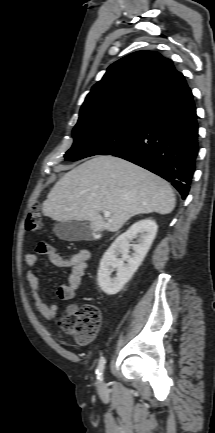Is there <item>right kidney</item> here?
<instances>
[{"label":"right kidney","mask_w":215,"mask_h":433,"mask_svg":"<svg viewBox=\"0 0 215 433\" xmlns=\"http://www.w3.org/2000/svg\"><path fill=\"white\" fill-rule=\"evenodd\" d=\"M156 233V222L148 218L136 222L116 238L103 255L97 274L98 284L104 293L107 295L118 293L131 279L150 249ZM134 238H138V244L130 245V241ZM130 246L134 251L131 256H129ZM119 255L121 258H118ZM114 269L117 273L112 278L111 273Z\"/></svg>","instance_id":"right-kidney-1"}]
</instances>
